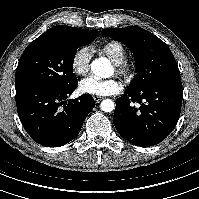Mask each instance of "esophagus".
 <instances>
[{"mask_svg": "<svg viewBox=\"0 0 199 199\" xmlns=\"http://www.w3.org/2000/svg\"><path fill=\"white\" fill-rule=\"evenodd\" d=\"M93 98H94L95 102H97V103H99L103 100V98L100 96H93Z\"/></svg>", "mask_w": 199, "mask_h": 199, "instance_id": "obj_1", "label": "esophagus"}]
</instances>
